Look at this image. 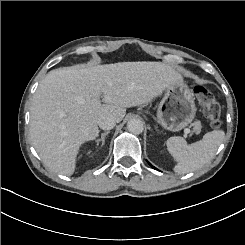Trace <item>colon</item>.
<instances>
[{
	"label": "colon",
	"instance_id": "obj_1",
	"mask_svg": "<svg viewBox=\"0 0 245 245\" xmlns=\"http://www.w3.org/2000/svg\"><path fill=\"white\" fill-rule=\"evenodd\" d=\"M194 93L204 109V114L212 127L217 128L221 124V107L214 94L203 86H196Z\"/></svg>",
	"mask_w": 245,
	"mask_h": 245
}]
</instances>
